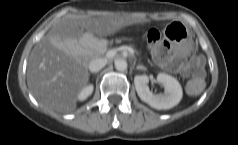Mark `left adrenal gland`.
<instances>
[{"label":"left adrenal gland","instance_id":"1","mask_svg":"<svg viewBox=\"0 0 238 145\" xmlns=\"http://www.w3.org/2000/svg\"><path fill=\"white\" fill-rule=\"evenodd\" d=\"M136 69L137 70H146V68L144 66H142V65L136 66Z\"/></svg>","mask_w":238,"mask_h":145}]
</instances>
